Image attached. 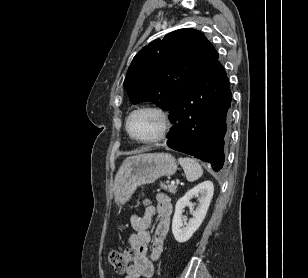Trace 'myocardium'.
<instances>
[{
	"instance_id": "1",
	"label": "myocardium",
	"mask_w": 308,
	"mask_h": 278,
	"mask_svg": "<svg viewBox=\"0 0 308 278\" xmlns=\"http://www.w3.org/2000/svg\"><path fill=\"white\" fill-rule=\"evenodd\" d=\"M141 111L154 112L155 114H157L159 116V118L161 120L160 131L158 132L157 135H155L152 138L141 139V138H138L137 136H135L133 134V132L131 131V128H130L131 119L136 113L141 112ZM170 126H171V123H170V118L168 116V113L164 109H162L161 107H158V106H155V105H143V106L137 107L136 109H134L128 115L127 120H126V131L129 134V136L133 140H135L139 143H144V144L156 143V142H159L162 139H164L165 136L167 135L169 129H170Z\"/></svg>"
}]
</instances>
